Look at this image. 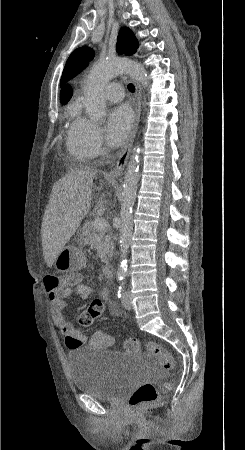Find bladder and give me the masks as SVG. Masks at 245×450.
<instances>
[{"instance_id": "bladder-1", "label": "bladder", "mask_w": 245, "mask_h": 450, "mask_svg": "<svg viewBox=\"0 0 245 450\" xmlns=\"http://www.w3.org/2000/svg\"><path fill=\"white\" fill-rule=\"evenodd\" d=\"M74 389L101 400L115 402L138 385L147 368L138 355L93 347H75L67 352Z\"/></svg>"}]
</instances>
